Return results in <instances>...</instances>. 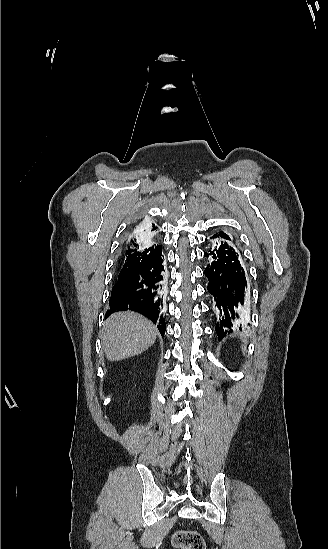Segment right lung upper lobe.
Segmentation results:
<instances>
[{
	"instance_id": "obj_1",
	"label": "right lung upper lobe",
	"mask_w": 328,
	"mask_h": 549,
	"mask_svg": "<svg viewBox=\"0 0 328 549\" xmlns=\"http://www.w3.org/2000/svg\"><path fill=\"white\" fill-rule=\"evenodd\" d=\"M158 227L147 219L136 223L129 231L119 257V276L125 278L138 270L142 264L161 253Z\"/></svg>"
}]
</instances>
